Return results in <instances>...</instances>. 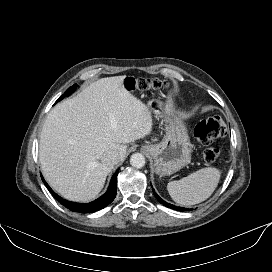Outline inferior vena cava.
I'll list each match as a JSON object with an SVG mask.
<instances>
[{
  "label": "inferior vena cava",
  "instance_id": "obj_1",
  "mask_svg": "<svg viewBox=\"0 0 272 272\" xmlns=\"http://www.w3.org/2000/svg\"><path fill=\"white\" fill-rule=\"evenodd\" d=\"M120 161L119 153L115 150L108 151L102 157V162L108 165H116Z\"/></svg>",
  "mask_w": 272,
  "mask_h": 272
}]
</instances>
